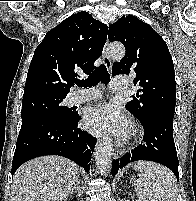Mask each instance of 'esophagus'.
<instances>
[{
  "instance_id": "34e87169",
  "label": "esophagus",
  "mask_w": 196,
  "mask_h": 201,
  "mask_svg": "<svg viewBox=\"0 0 196 201\" xmlns=\"http://www.w3.org/2000/svg\"><path fill=\"white\" fill-rule=\"evenodd\" d=\"M106 46H107V42H106V45H105V47L103 49L102 56L104 58V65L106 66L107 69L110 70L111 66H112V61H111V59L107 55ZM123 154H124V150L121 149V148H115L113 150V156L116 159L120 158Z\"/></svg>"
}]
</instances>
